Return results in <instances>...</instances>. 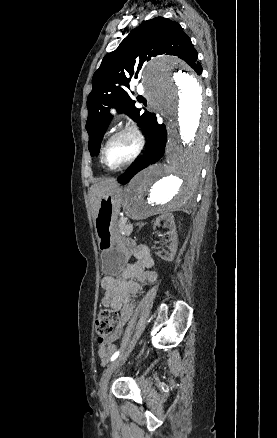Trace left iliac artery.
<instances>
[{
	"mask_svg": "<svg viewBox=\"0 0 277 438\" xmlns=\"http://www.w3.org/2000/svg\"><path fill=\"white\" fill-rule=\"evenodd\" d=\"M119 354H120V351H116V352L112 355V357H111V361H114V360L119 356Z\"/></svg>",
	"mask_w": 277,
	"mask_h": 438,
	"instance_id": "44dca946",
	"label": "left iliac artery"
}]
</instances>
